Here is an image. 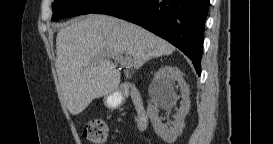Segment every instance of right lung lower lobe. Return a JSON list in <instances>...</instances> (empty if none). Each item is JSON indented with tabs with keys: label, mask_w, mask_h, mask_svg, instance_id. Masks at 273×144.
<instances>
[{
	"label": "right lung lower lobe",
	"mask_w": 273,
	"mask_h": 144,
	"mask_svg": "<svg viewBox=\"0 0 273 144\" xmlns=\"http://www.w3.org/2000/svg\"><path fill=\"white\" fill-rule=\"evenodd\" d=\"M209 0H109L92 13L115 16L168 40L201 74L203 32Z\"/></svg>",
	"instance_id": "right-lung-lower-lobe-1"
}]
</instances>
